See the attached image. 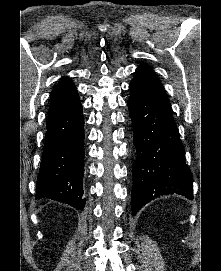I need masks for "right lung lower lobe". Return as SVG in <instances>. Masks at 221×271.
I'll return each mask as SVG.
<instances>
[{"label":"right lung lower lobe","instance_id":"right-lung-lower-lobe-1","mask_svg":"<svg viewBox=\"0 0 221 271\" xmlns=\"http://www.w3.org/2000/svg\"><path fill=\"white\" fill-rule=\"evenodd\" d=\"M36 199L50 198L77 209L85 205L84 118L80 100L55 113H48Z\"/></svg>","mask_w":221,"mask_h":271}]
</instances>
